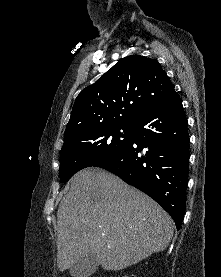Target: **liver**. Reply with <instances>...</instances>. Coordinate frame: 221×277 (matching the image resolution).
Masks as SVG:
<instances>
[{
	"instance_id": "obj_1",
	"label": "liver",
	"mask_w": 221,
	"mask_h": 277,
	"mask_svg": "<svg viewBox=\"0 0 221 277\" xmlns=\"http://www.w3.org/2000/svg\"><path fill=\"white\" fill-rule=\"evenodd\" d=\"M57 265L61 272L93 254L104 270H122L161 252L173 220L143 192L100 168L70 180L57 212Z\"/></svg>"
}]
</instances>
